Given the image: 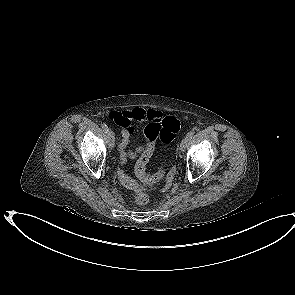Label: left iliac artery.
<instances>
[{"label": "left iliac artery", "mask_w": 295, "mask_h": 295, "mask_svg": "<svg viewBox=\"0 0 295 295\" xmlns=\"http://www.w3.org/2000/svg\"><path fill=\"white\" fill-rule=\"evenodd\" d=\"M194 133H195L194 131H190L187 133L186 137L191 139L193 137Z\"/></svg>", "instance_id": "obj_1"}]
</instances>
